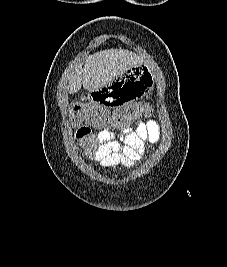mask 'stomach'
<instances>
[{"instance_id":"0dacf381","label":"stomach","mask_w":227,"mask_h":267,"mask_svg":"<svg viewBox=\"0 0 227 267\" xmlns=\"http://www.w3.org/2000/svg\"><path fill=\"white\" fill-rule=\"evenodd\" d=\"M153 78L154 73H148V64H132L128 73L112 77V82H106V87H94V91H88L86 104H102V107L136 104L142 100L141 96H148L150 87H157Z\"/></svg>"}]
</instances>
